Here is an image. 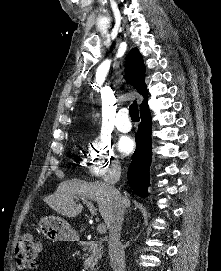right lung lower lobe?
Listing matches in <instances>:
<instances>
[{
  "label": "right lung lower lobe",
  "mask_w": 221,
  "mask_h": 271,
  "mask_svg": "<svg viewBox=\"0 0 221 271\" xmlns=\"http://www.w3.org/2000/svg\"><path fill=\"white\" fill-rule=\"evenodd\" d=\"M141 123L138 127L136 150L133 161L128 169V182L131 189L140 197H147L149 183V169L151 164V130L152 118L149 108L140 111Z\"/></svg>",
  "instance_id": "right-lung-lower-lobe-1"
}]
</instances>
